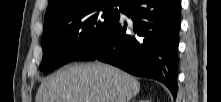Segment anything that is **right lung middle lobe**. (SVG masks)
<instances>
[{"instance_id":"dd1d6c3e","label":"right lung middle lobe","mask_w":221,"mask_h":102,"mask_svg":"<svg viewBox=\"0 0 221 102\" xmlns=\"http://www.w3.org/2000/svg\"><path fill=\"white\" fill-rule=\"evenodd\" d=\"M122 1H73L44 23L40 70L64 65L101 37L118 19Z\"/></svg>"}]
</instances>
